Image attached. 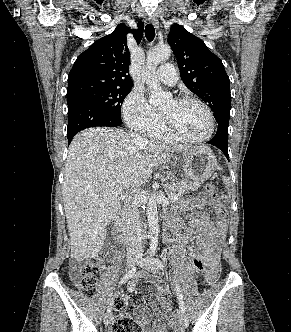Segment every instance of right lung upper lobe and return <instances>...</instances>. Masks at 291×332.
<instances>
[{
    "mask_svg": "<svg viewBox=\"0 0 291 332\" xmlns=\"http://www.w3.org/2000/svg\"><path fill=\"white\" fill-rule=\"evenodd\" d=\"M137 26V30H131L124 24L118 25L111 34L94 42L77 57L68 75L67 97L92 90L132 86L126 34L132 32L140 43L144 24L138 22Z\"/></svg>",
    "mask_w": 291,
    "mask_h": 332,
    "instance_id": "obj_1",
    "label": "right lung upper lobe"
}]
</instances>
